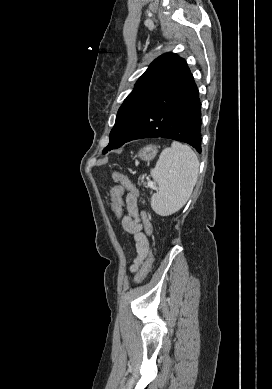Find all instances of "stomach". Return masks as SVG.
Listing matches in <instances>:
<instances>
[{
    "label": "stomach",
    "instance_id": "1",
    "mask_svg": "<svg viewBox=\"0 0 272 389\" xmlns=\"http://www.w3.org/2000/svg\"><path fill=\"white\" fill-rule=\"evenodd\" d=\"M158 152L156 145H147L138 152V157L144 161L152 160Z\"/></svg>",
    "mask_w": 272,
    "mask_h": 389
}]
</instances>
